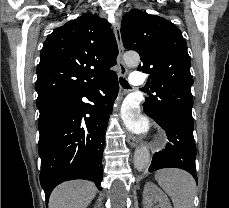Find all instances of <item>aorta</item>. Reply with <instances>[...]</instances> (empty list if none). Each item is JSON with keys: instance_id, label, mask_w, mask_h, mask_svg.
I'll use <instances>...</instances> for the list:
<instances>
[{"instance_id": "762f6f07", "label": "aorta", "mask_w": 229, "mask_h": 208, "mask_svg": "<svg viewBox=\"0 0 229 208\" xmlns=\"http://www.w3.org/2000/svg\"><path fill=\"white\" fill-rule=\"evenodd\" d=\"M124 61L128 66L135 67L140 62V57L137 53H126ZM150 165V152L147 147H138L134 152V166L138 171L147 169Z\"/></svg>"}]
</instances>
